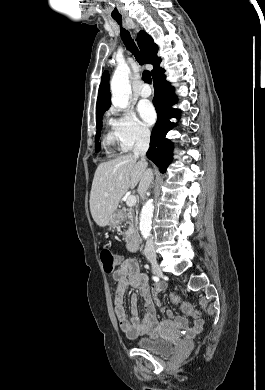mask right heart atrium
Masks as SVG:
<instances>
[{
    "mask_svg": "<svg viewBox=\"0 0 265 390\" xmlns=\"http://www.w3.org/2000/svg\"><path fill=\"white\" fill-rule=\"evenodd\" d=\"M110 124L120 147L130 150L149 141L150 132L131 110H111Z\"/></svg>",
    "mask_w": 265,
    "mask_h": 390,
    "instance_id": "obj_1",
    "label": "right heart atrium"
}]
</instances>
